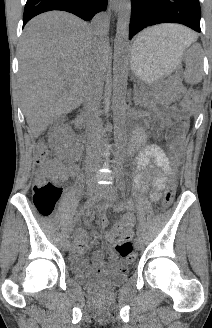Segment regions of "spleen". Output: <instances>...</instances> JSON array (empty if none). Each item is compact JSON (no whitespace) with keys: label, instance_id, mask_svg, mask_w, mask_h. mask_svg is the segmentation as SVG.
Wrapping results in <instances>:
<instances>
[{"label":"spleen","instance_id":"spleen-1","mask_svg":"<svg viewBox=\"0 0 212 328\" xmlns=\"http://www.w3.org/2000/svg\"><path fill=\"white\" fill-rule=\"evenodd\" d=\"M147 42H148V36L146 35V32L144 31L137 37L134 45L143 47L144 45H146ZM188 45L189 44L185 45V47ZM186 63H187V68H186V72H185V80L191 84L200 82L202 79L201 70L193 67V62L190 58L186 59Z\"/></svg>","mask_w":212,"mask_h":328}]
</instances>
